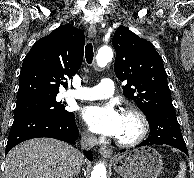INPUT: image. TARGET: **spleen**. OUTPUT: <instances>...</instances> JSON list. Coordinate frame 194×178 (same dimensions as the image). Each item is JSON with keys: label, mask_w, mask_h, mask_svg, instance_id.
Instances as JSON below:
<instances>
[{"label": "spleen", "mask_w": 194, "mask_h": 178, "mask_svg": "<svg viewBox=\"0 0 194 178\" xmlns=\"http://www.w3.org/2000/svg\"><path fill=\"white\" fill-rule=\"evenodd\" d=\"M180 167V171L178 173V175L176 176V178H185L186 175V164L185 162L181 161L179 164Z\"/></svg>", "instance_id": "1"}]
</instances>
